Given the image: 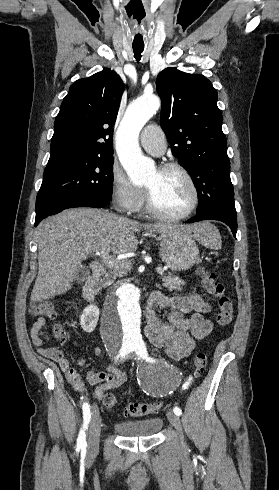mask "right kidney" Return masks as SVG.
<instances>
[{
    "mask_svg": "<svg viewBox=\"0 0 279 490\" xmlns=\"http://www.w3.org/2000/svg\"><path fill=\"white\" fill-rule=\"evenodd\" d=\"M100 312L97 306H87L80 316V326L84 332H93L97 326Z\"/></svg>",
    "mask_w": 279,
    "mask_h": 490,
    "instance_id": "obj_1",
    "label": "right kidney"
}]
</instances>
